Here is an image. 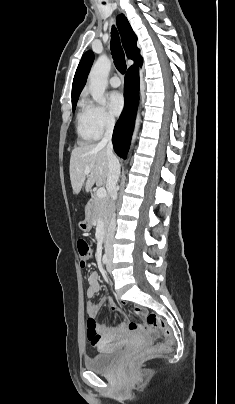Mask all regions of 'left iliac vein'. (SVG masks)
Returning <instances> with one entry per match:
<instances>
[{
  "instance_id": "4c4485c4",
  "label": "left iliac vein",
  "mask_w": 235,
  "mask_h": 404,
  "mask_svg": "<svg viewBox=\"0 0 235 404\" xmlns=\"http://www.w3.org/2000/svg\"><path fill=\"white\" fill-rule=\"evenodd\" d=\"M112 267V262H111V258H109L108 262H107V270L110 271Z\"/></svg>"
}]
</instances>
